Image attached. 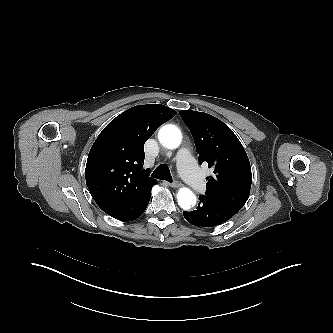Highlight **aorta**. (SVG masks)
<instances>
[{"label": "aorta", "instance_id": "aorta-1", "mask_svg": "<svg viewBox=\"0 0 333 333\" xmlns=\"http://www.w3.org/2000/svg\"><path fill=\"white\" fill-rule=\"evenodd\" d=\"M158 139L162 146L167 149H176L180 146L182 141L181 130L173 125L167 124L160 128L158 132ZM178 205L184 209L189 210L196 204L195 194L188 188L182 187L177 193Z\"/></svg>", "mask_w": 333, "mask_h": 333}]
</instances>
